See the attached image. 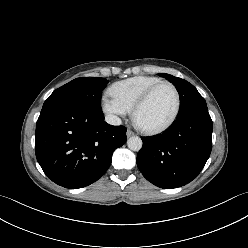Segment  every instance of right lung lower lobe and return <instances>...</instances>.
Wrapping results in <instances>:
<instances>
[{
    "label": "right lung lower lobe",
    "instance_id": "98d812e1",
    "mask_svg": "<svg viewBox=\"0 0 248 248\" xmlns=\"http://www.w3.org/2000/svg\"><path fill=\"white\" fill-rule=\"evenodd\" d=\"M126 131L106 123L102 111L82 104L46 105L36 124V158L56 184L82 188L106 172L114 150L126 142Z\"/></svg>",
    "mask_w": 248,
    "mask_h": 248
}]
</instances>
